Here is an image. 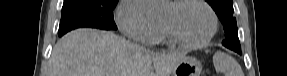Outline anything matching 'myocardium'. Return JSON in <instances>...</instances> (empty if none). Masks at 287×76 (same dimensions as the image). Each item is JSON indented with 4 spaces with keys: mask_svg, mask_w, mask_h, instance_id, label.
I'll use <instances>...</instances> for the list:
<instances>
[{
    "mask_svg": "<svg viewBox=\"0 0 287 76\" xmlns=\"http://www.w3.org/2000/svg\"><path fill=\"white\" fill-rule=\"evenodd\" d=\"M186 3H196L199 4L201 6H203L209 13L210 17H211V28L210 31L208 32V34L197 41H187L182 39L180 36L177 35V33L174 31V29L172 28V26L170 25V23L164 19L161 18V24L164 30V33L167 37V39L178 46H182V47H186V48H199L202 47L206 44H208L216 35V33L218 32V27H219V20H218V16L216 14V12L214 11V9L209 5V3H207L204 0H176V1H172L170 2V6L172 7H179L183 4Z\"/></svg>",
    "mask_w": 287,
    "mask_h": 76,
    "instance_id": "obj_1",
    "label": "myocardium"
}]
</instances>
